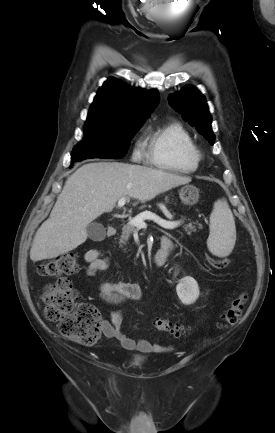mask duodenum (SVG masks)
Instances as JSON below:
<instances>
[{
	"mask_svg": "<svg viewBox=\"0 0 275 433\" xmlns=\"http://www.w3.org/2000/svg\"><path fill=\"white\" fill-rule=\"evenodd\" d=\"M116 227L113 224L108 225L107 227V235L110 237H113L116 234ZM171 251V245L168 242H162L161 243V248L158 252L155 253V255L153 256V264L156 267H161L163 266L169 257Z\"/></svg>",
	"mask_w": 275,
	"mask_h": 433,
	"instance_id": "duodenum-1",
	"label": "duodenum"
}]
</instances>
